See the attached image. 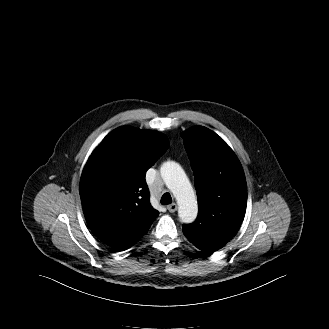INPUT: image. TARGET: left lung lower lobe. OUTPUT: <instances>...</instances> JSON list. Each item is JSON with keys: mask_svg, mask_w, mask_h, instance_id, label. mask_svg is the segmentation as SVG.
Wrapping results in <instances>:
<instances>
[{"mask_svg": "<svg viewBox=\"0 0 329 329\" xmlns=\"http://www.w3.org/2000/svg\"><path fill=\"white\" fill-rule=\"evenodd\" d=\"M185 234V231H183ZM235 233L220 232L218 238L215 240H204V241H190L197 248L203 250L206 254H212L214 251L222 248L226 242L234 236Z\"/></svg>", "mask_w": 329, "mask_h": 329, "instance_id": "left-lung-lower-lobe-1", "label": "left lung lower lobe"}]
</instances>
